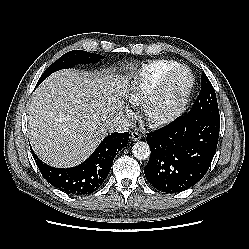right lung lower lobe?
<instances>
[{
  "mask_svg": "<svg viewBox=\"0 0 249 249\" xmlns=\"http://www.w3.org/2000/svg\"><path fill=\"white\" fill-rule=\"evenodd\" d=\"M129 135L128 132L108 135L87 160L72 168L51 167L43 163L33 150L31 152L40 172L50 184L68 194L84 195L102 185L116 154L127 145Z\"/></svg>",
  "mask_w": 249,
  "mask_h": 249,
  "instance_id": "obj_1",
  "label": "right lung lower lobe"
}]
</instances>
